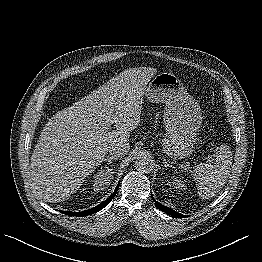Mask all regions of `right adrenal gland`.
<instances>
[{"label":"right adrenal gland","mask_w":262,"mask_h":262,"mask_svg":"<svg viewBox=\"0 0 262 262\" xmlns=\"http://www.w3.org/2000/svg\"><path fill=\"white\" fill-rule=\"evenodd\" d=\"M117 158L111 157V156H107L104 161L108 162L107 164H111L113 160H116Z\"/></svg>","instance_id":"1"}]
</instances>
